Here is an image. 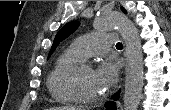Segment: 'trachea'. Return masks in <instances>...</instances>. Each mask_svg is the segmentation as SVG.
<instances>
[{
	"label": "trachea",
	"mask_w": 171,
	"mask_h": 110,
	"mask_svg": "<svg viewBox=\"0 0 171 110\" xmlns=\"http://www.w3.org/2000/svg\"><path fill=\"white\" fill-rule=\"evenodd\" d=\"M116 48H123L122 43H121V42H118V43L116 44Z\"/></svg>",
	"instance_id": "3493384b"
}]
</instances>
